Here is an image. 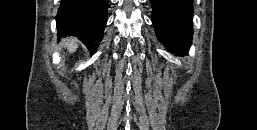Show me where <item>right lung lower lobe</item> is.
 <instances>
[{
  "label": "right lung lower lobe",
  "instance_id": "1",
  "mask_svg": "<svg viewBox=\"0 0 257 130\" xmlns=\"http://www.w3.org/2000/svg\"><path fill=\"white\" fill-rule=\"evenodd\" d=\"M107 5L108 0H62L56 16L59 36H76L93 50L103 37Z\"/></svg>",
  "mask_w": 257,
  "mask_h": 130
}]
</instances>
